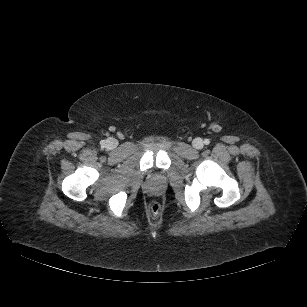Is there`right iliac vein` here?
Wrapping results in <instances>:
<instances>
[{
    "mask_svg": "<svg viewBox=\"0 0 307 307\" xmlns=\"http://www.w3.org/2000/svg\"><path fill=\"white\" fill-rule=\"evenodd\" d=\"M106 145H107L108 148L114 149V148L117 147L118 141L114 138H110V139L107 140Z\"/></svg>",
    "mask_w": 307,
    "mask_h": 307,
    "instance_id": "right-iliac-vein-1",
    "label": "right iliac vein"
}]
</instances>
